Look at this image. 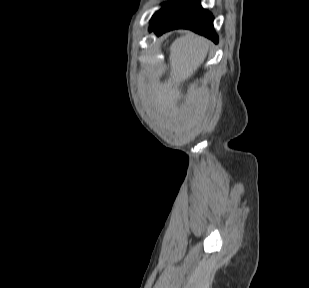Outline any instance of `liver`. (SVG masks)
<instances>
[{
	"label": "liver",
	"mask_w": 309,
	"mask_h": 288,
	"mask_svg": "<svg viewBox=\"0 0 309 288\" xmlns=\"http://www.w3.org/2000/svg\"><path fill=\"white\" fill-rule=\"evenodd\" d=\"M210 42L192 32L177 38L170 47V75L154 87L150 101L160 112L173 108L181 98L180 86L201 66L209 51Z\"/></svg>",
	"instance_id": "liver-1"
}]
</instances>
